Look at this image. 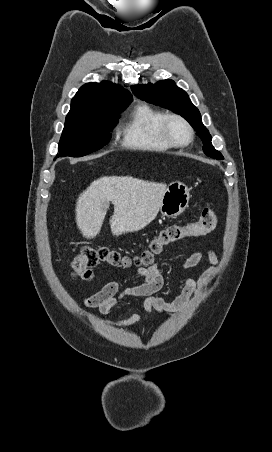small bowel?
I'll return each mask as SVG.
<instances>
[{
	"instance_id": "obj_1",
	"label": "small bowel",
	"mask_w": 272,
	"mask_h": 452,
	"mask_svg": "<svg viewBox=\"0 0 272 452\" xmlns=\"http://www.w3.org/2000/svg\"><path fill=\"white\" fill-rule=\"evenodd\" d=\"M202 256L200 250H194L182 261L180 267L182 269L193 268L201 261ZM208 259L211 266L199 280L183 279L181 281V292L173 301H166L157 295V292L165 284V275L158 264L152 263L147 267H134L131 270L142 278L143 281L140 284L121 287L118 281L108 282L98 292L88 297L85 305L88 308L98 310L102 317L117 327H130L142 319L140 314H134L128 319L118 321L109 318L111 308L128 298H144V309L149 315L154 311L161 315H173L180 311L189 299L216 274L219 262L216 253L209 251Z\"/></svg>"
}]
</instances>
